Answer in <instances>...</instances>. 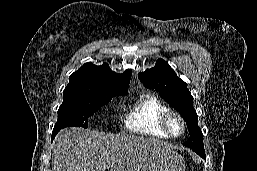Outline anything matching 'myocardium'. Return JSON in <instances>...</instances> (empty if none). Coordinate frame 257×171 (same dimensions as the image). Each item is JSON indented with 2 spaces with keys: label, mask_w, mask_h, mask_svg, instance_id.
<instances>
[{
  "label": "myocardium",
  "mask_w": 257,
  "mask_h": 171,
  "mask_svg": "<svg viewBox=\"0 0 257 171\" xmlns=\"http://www.w3.org/2000/svg\"><path fill=\"white\" fill-rule=\"evenodd\" d=\"M173 118H176L181 125V130L179 133H174L171 128V120ZM162 127L170 137L176 138V137H180L181 135H183V133L186 130V123H185L184 118L182 117V115L179 112H177L175 110H168L162 117Z\"/></svg>",
  "instance_id": "obj_1"
}]
</instances>
